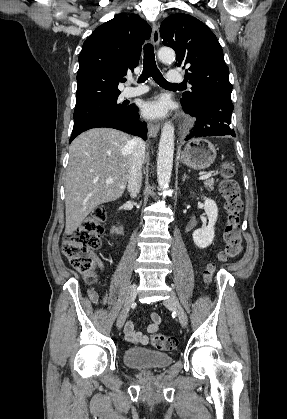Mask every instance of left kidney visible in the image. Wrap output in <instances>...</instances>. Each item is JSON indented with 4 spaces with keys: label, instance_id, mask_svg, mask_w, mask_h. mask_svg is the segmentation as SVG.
<instances>
[{
    "label": "left kidney",
    "instance_id": "5707ae66",
    "mask_svg": "<svg viewBox=\"0 0 287 419\" xmlns=\"http://www.w3.org/2000/svg\"><path fill=\"white\" fill-rule=\"evenodd\" d=\"M204 210L208 216V226L197 229L192 234L194 243L203 249L211 245L215 236L214 226L218 217V208L215 201L204 197Z\"/></svg>",
    "mask_w": 287,
    "mask_h": 419
}]
</instances>
